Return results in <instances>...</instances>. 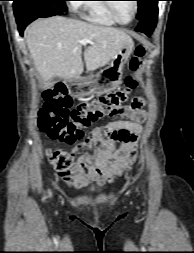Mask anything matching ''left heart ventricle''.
Instances as JSON below:
<instances>
[{
    "mask_svg": "<svg viewBox=\"0 0 194 253\" xmlns=\"http://www.w3.org/2000/svg\"><path fill=\"white\" fill-rule=\"evenodd\" d=\"M117 15L123 21L129 20L134 12L133 1H116L113 3Z\"/></svg>",
    "mask_w": 194,
    "mask_h": 253,
    "instance_id": "1",
    "label": "left heart ventricle"
}]
</instances>
